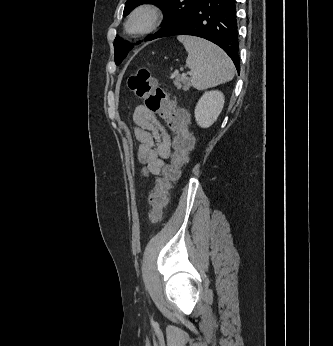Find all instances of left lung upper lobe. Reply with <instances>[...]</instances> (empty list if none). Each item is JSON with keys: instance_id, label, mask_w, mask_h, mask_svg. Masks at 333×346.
<instances>
[{"instance_id": "obj_1", "label": "left lung upper lobe", "mask_w": 333, "mask_h": 346, "mask_svg": "<svg viewBox=\"0 0 333 346\" xmlns=\"http://www.w3.org/2000/svg\"><path fill=\"white\" fill-rule=\"evenodd\" d=\"M198 0H127L125 3L123 16L128 15L136 6L143 3H154L162 8L164 24L154 35L148 36L146 40H153L160 37L166 30L182 20L188 11ZM132 48V44L116 37L114 40V58L118 65L122 62L127 52Z\"/></svg>"}]
</instances>
